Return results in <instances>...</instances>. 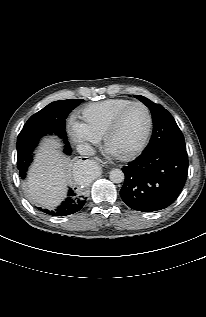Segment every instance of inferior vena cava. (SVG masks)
I'll return each instance as SVG.
<instances>
[{"label": "inferior vena cava", "mask_w": 206, "mask_h": 317, "mask_svg": "<svg viewBox=\"0 0 206 317\" xmlns=\"http://www.w3.org/2000/svg\"><path fill=\"white\" fill-rule=\"evenodd\" d=\"M76 149L80 155L91 156V155H94L95 153V150L93 149V147L88 143L79 144L77 145Z\"/></svg>", "instance_id": "602c4592"}]
</instances>
